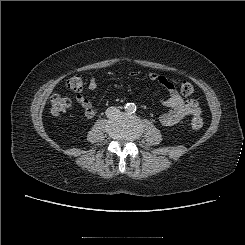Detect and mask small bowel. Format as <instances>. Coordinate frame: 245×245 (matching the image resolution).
<instances>
[{"label":"small bowel","mask_w":245,"mask_h":245,"mask_svg":"<svg viewBox=\"0 0 245 245\" xmlns=\"http://www.w3.org/2000/svg\"><path fill=\"white\" fill-rule=\"evenodd\" d=\"M139 72L132 73L133 77L139 76ZM149 80L151 83H158L162 85L169 94L166 100L162 101V104L169 109L159 116V121L163 126L170 127L179 123L186 116L199 115L200 107L197 101L193 99H185L176 89L174 84L169 81L165 76L158 73H150ZM88 88L95 90L97 88V79L90 77L88 80ZM76 101L80 104L84 111V115L91 119L96 115V109L93 107L90 100L84 95L78 94Z\"/></svg>","instance_id":"1"}]
</instances>
